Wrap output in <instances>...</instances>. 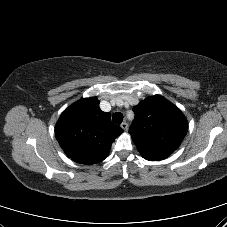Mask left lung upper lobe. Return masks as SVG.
Masks as SVG:
<instances>
[{"mask_svg":"<svg viewBox=\"0 0 227 227\" xmlns=\"http://www.w3.org/2000/svg\"><path fill=\"white\" fill-rule=\"evenodd\" d=\"M130 126L138 151L149 161L163 160L181 144L188 130L184 114L161 95H154L133 107Z\"/></svg>","mask_w":227,"mask_h":227,"instance_id":"5c2ea615","label":"left lung upper lobe"}]
</instances>
